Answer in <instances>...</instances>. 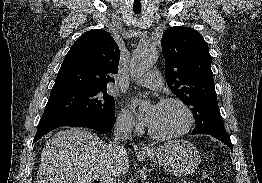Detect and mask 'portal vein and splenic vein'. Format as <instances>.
<instances>
[{
	"label": "portal vein and splenic vein",
	"instance_id": "portal-vein-and-splenic-vein-1",
	"mask_svg": "<svg viewBox=\"0 0 262 183\" xmlns=\"http://www.w3.org/2000/svg\"><path fill=\"white\" fill-rule=\"evenodd\" d=\"M95 180H103L104 183H116L117 182V180H115L114 178H110L106 176H99V175L95 176Z\"/></svg>",
	"mask_w": 262,
	"mask_h": 183
}]
</instances>
